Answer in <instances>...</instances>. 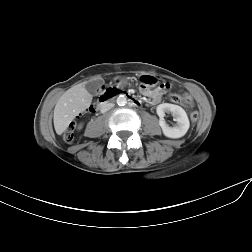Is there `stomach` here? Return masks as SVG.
<instances>
[{
	"label": "stomach",
	"mask_w": 252,
	"mask_h": 252,
	"mask_svg": "<svg viewBox=\"0 0 252 252\" xmlns=\"http://www.w3.org/2000/svg\"><path fill=\"white\" fill-rule=\"evenodd\" d=\"M117 81H120L118 78L116 79ZM141 80L145 83H153V77H151L150 75H142L141 76Z\"/></svg>",
	"instance_id": "0dacf381"
}]
</instances>
